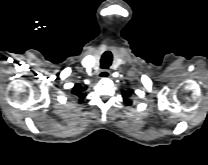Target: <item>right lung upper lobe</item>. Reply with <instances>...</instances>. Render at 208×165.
<instances>
[{"instance_id":"right-lung-upper-lobe-1","label":"right lung upper lobe","mask_w":208,"mask_h":165,"mask_svg":"<svg viewBox=\"0 0 208 165\" xmlns=\"http://www.w3.org/2000/svg\"><path fill=\"white\" fill-rule=\"evenodd\" d=\"M87 87H82L80 84H76L72 88V94L76 95L79 97V101L82 102L86 96L85 90Z\"/></svg>"}]
</instances>
